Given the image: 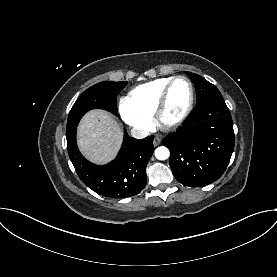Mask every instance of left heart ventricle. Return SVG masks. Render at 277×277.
Instances as JSON below:
<instances>
[{
    "label": "left heart ventricle",
    "instance_id": "b2bd125f",
    "mask_svg": "<svg viewBox=\"0 0 277 277\" xmlns=\"http://www.w3.org/2000/svg\"><path fill=\"white\" fill-rule=\"evenodd\" d=\"M190 97V89L184 80L177 81L169 95L164 118L168 121L178 118L186 108Z\"/></svg>",
    "mask_w": 277,
    "mask_h": 277
}]
</instances>
